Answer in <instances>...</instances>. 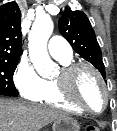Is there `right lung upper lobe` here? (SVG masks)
Masks as SVG:
<instances>
[{
    "instance_id": "right-lung-upper-lobe-1",
    "label": "right lung upper lobe",
    "mask_w": 117,
    "mask_h": 131,
    "mask_svg": "<svg viewBox=\"0 0 117 131\" xmlns=\"http://www.w3.org/2000/svg\"><path fill=\"white\" fill-rule=\"evenodd\" d=\"M21 11L16 2L0 6V59H19L21 54Z\"/></svg>"
}]
</instances>
